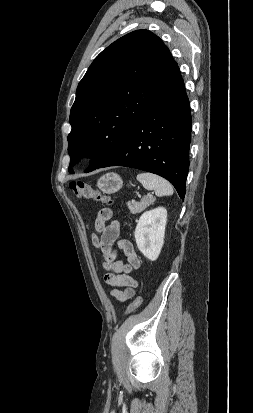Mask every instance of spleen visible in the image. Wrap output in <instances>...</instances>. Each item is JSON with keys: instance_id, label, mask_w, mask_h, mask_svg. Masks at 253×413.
Masks as SVG:
<instances>
[{"instance_id": "3e777b00", "label": "spleen", "mask_w": 253, "mask_h": 413, "mask_svg": "<svg viewBox=\"0 0 253 413\" xmlns=\"http://www.w3.org/2000/svg\"><path fill=\"white\" fill-rule=\"evenodd\" d=\"M137 180L147 190H154L155 194L161 196H171L173 194V186L166 179L149 172L139 173Z\"/></svg>"}]
</instances>
